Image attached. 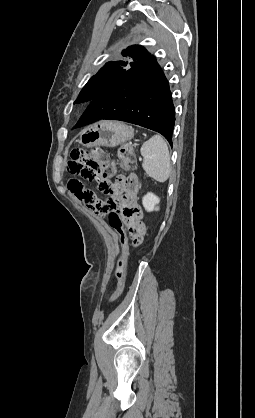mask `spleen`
I'll return each mask as SVG.
<instances>
[{
    "instance_id": "3e777b00",
    "label": "spleen",
    "mask_w": 255,
    "mask_h": 418,
    "mask_svg": "<svg viewBox=\"0 0 255 418\" xmlns=\"http://www.w3.org/2000/svg\"><path fill=\"white\" fill-rule=\"evenodd\" d=\"M144 158L142 167L146 174L158 182H165L171 172L170 154L166 141L161 135H153L144 142L141 149Z\"/></svg>"
}]
</instances>
